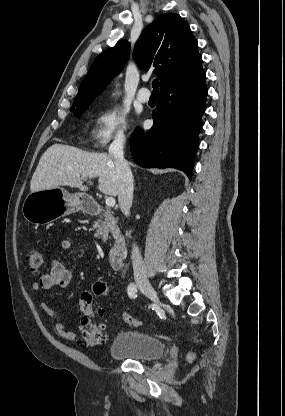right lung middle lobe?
Segmentation results:
<instances>
[{
  "mask_svg": "<svg viewBox=\"0 0 285 416\" xmlns=\"http://www.w3.org/2000/svg\"><path fill=\"white\" fill-rule=\"evenodd\" d=\"M87 107L88 105L85 107L76 108L75 110L71 109V111L74 113L75 116L79 117L87 109Z\"/></svg>",
  "mask_w": 285,
  "mask_h": 416,
  "instance_id": "1",
  "label": "right lung middle lobe"
}]
</instances>
